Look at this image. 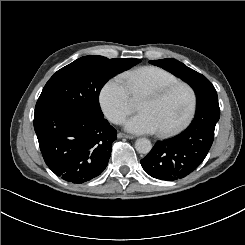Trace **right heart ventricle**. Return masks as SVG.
Segmentation results:
<instances>
[{
	"label": "right heart ventricle",
	"instance_id": "right-heart-ventricle-1",
	"mask_svg": "<svg viewBox=\"0 0 245 245\" xmlns=\"http://www.w3.org/2000/svg\"><path fill=\"white\" fill-rule=\"evenodd\" d=\"M119 78L125 83L133 98H139L149 85L167 86L180 80L165 69L155 66H142L123 72Z\"/></svg>",
	"mask_w": 245,
	"mask_h": 245
}]
</instances>
